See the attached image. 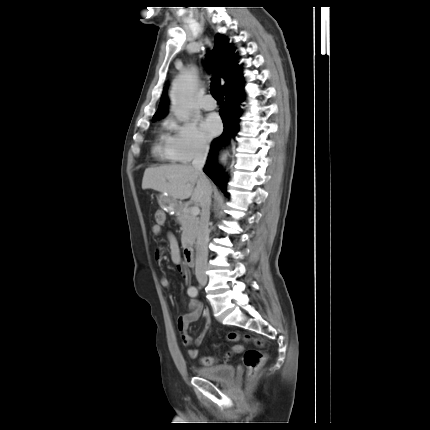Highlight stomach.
Listing matches in <instances>:
<instances>
[{"label": "stomach", "instance_id": "stomach-1", "mask_svg": "<svg viewBox=\"0 0 430 430\" xmlns=\"http://www.w3.org/2000/svg\"><path fill=\"white\" fill-rule=\"evenodd\" d=\"M158 201L160 206L167 211H175L178 209V204L175 199L170 196H166L164 194H160L158 196Z\"/></svg>", "mask_w": 430, "mask_h": 430}]
</instances>
